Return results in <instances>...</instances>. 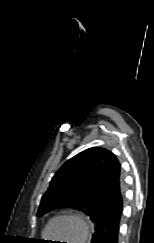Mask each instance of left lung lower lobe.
<instances>
[{"instance_id": "obj_1", "label": "left lung lower lobe", "mask_w": 154, "mask_h": 243, "mask_svg": "<svg viewBox=\"0 0 154 243\" xmlns=\"http://www.w3.org/2000/svg\"><path fill=\"white\" fill-rule=\"evenodd\" d=\"M120 164L113 153L106 157L89 193L102 213L95 222L91 243H118L123 211V192Z\"/></svg>"}]
</instances>
